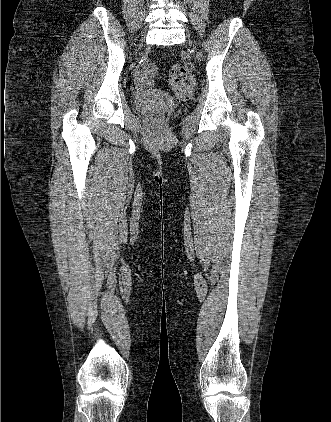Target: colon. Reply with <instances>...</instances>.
<instances>
[{
    "instance_id": "1",
    "label": "colon",
    "mask_w": 331,
    "mask_h": 422,
    "mask_svg": "<svg viewBox=\"0 0 331 422\" xmlns=\"http://www.w3.org/2000/svg\"><path fill=\"white\" fill-rule=\"evenodd\" d=\"M158 72L157 64L152 60H147L141 67V75L147 79H153ZM169 77L172 89L182 98L188 99L190 87L187 83L188 71L184 64L174 63L170 66Z\"/></svg>"
}]
</instances>
